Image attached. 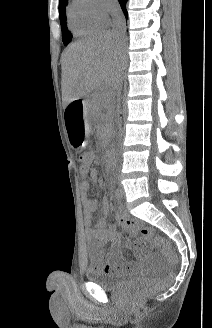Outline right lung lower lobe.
<instances>
[{
    "label": "right lung lower lobe",
    "instance_id": "98d812e1",
    "mask_svg": "<svg viewBox=\"0 0 212 328\" xmlns=\"http://www.w3.org/2000/svg\"><path fill=\"white\" fill-rule=\"evenodd\" d=\"M126 2H127V0H119L120 6H121V8H122V10H123V13H124L125 16L127 17V11H126V7H125Z\"/></svg>",
    "mask_w": 212,
    "mask_h": 328
}]
</instances>
